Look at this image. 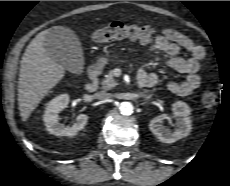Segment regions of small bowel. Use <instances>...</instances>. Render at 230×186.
Instances as JSON below:
<instances>
[{
  "mask_svg": "<svg viewBox=\"0 0 230 186\" xmlns=\"http://www.w3.org/2000/svg\"><path fill=\"white\" fill-rule=\"evenodd\" d=\"M150 50L163 53L165 55L164 64L167 67L186 75L184 81L168 84V89L171 92L180 96H188L199 87L201 82L199 70L201 62L205 59L203 47L195 44L180 31L166 28L155 38ZM182 50L186 51L190 58L180 57L179 53ZM138 77L139 80L147 81L150 86H154L158 82L157 75L148 73L144 68H140Z\"/></svg>",
  "mask_w": 230,
  "mask_h": 186,
  "instance_id": "1",
  "label": "small bowel"
}]
</instances>
